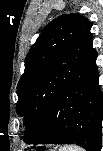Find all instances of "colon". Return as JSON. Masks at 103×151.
Wrapping results in <instances>:
<instances>
[{"label":"colon","instance_id":"5ec220e1","mask_svg":"<svg viewBox=\"0 0 103 151\" xmlns=\"http://www.w3.org/2000/svg\"><path fill=\"white\" fill-rule=\"evenodd\" d=\"M35 151H44V149L40 148V149H38V150H35Z\"/></svg>","mask_w":103,"mask_h":151}]
</instances>
